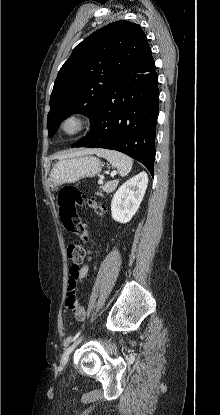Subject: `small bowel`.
<instances>
[{
	"label": "small bowel",
	"instance_id": "1",
	"mask_svg": "<svg viewBox=\"0 0 220 415\" xmlns=\"http://www.w3.org/2000/svg\"><path fill=\"white\" fill-rule=\"evenodd\" d=\"M80 277L81 280L84 279L88 272H89V266L86 264L84 266H82L80 269ZM82 307V305L80 303H78V305L75 308H68L72 314L74 315V317L78 320V321H83L86 317V313L85 311H79V308Z\"/></svg>",
	"mask_w": 220,
	"mask_h": 415
}]
</instances>
